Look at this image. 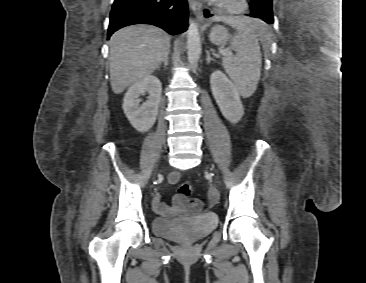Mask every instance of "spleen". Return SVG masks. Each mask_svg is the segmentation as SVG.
Returning a JSON list of instances; mask_svg holds the SVG:
<instances>
[{"instance_id":"obj_1","label":"spleen","mask_w":366,"mask_h":283,"mask_svg":"<svg viewBox=\"0 0 366 283\" xmlns=\"http://www.w3.org/2000/svg\"><path fill=\"white\" fill-rule=\"evenodd\" d=\"M221 19L237 30L231 42L236 55H224L222 58L224 70L239 93L248 98L256 90L260 79L262 58L259 40L264 38L266 28L254 19L243 17Z\"/></svg>"}]
</instances>
